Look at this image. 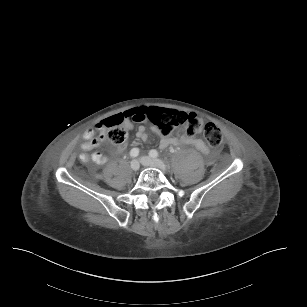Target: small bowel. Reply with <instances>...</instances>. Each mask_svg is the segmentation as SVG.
<instances>
[{
	"label": "small bowel",
	"mask_w": 307,
	"mask_h": 307,
	"mask_svg": "<svg viewBox=\"0 0 307 307\" xmlns=\"http://www.w3.org/2000/svg\"><path fill=\"white\" fill-rule=\"evenodd\" d=\"M148 111L145 107H138L135 108L128 113H133L135 115H145ZM127 127H131V124H127ZM154 131H157L156 129H153ZM137 138L143 141H146L148 139V134L146 132V128L144 126H140L137 131ZM84 139L85 142L82 144L81 148L84 151H91L95 148H97L100 143L104 140V134L100 135L99 137L95 136V133L92 129H87L84 132ZM171 145H192L194 146L198 151H200L202 154L207 155L209 154V148L204 143L203 140L200 138H197L196 136L192 135H184L177 133L176 135H161L160 140V147L162 149L167 148ZM122 149H119L121 151ZM80 159L84 163L93 162L95 164H104L107 161V158L100 152H94L92 154L83 153L80 156Z\"/></svg>",
	"instance_id": "c3829d8e"
}]
</instances>
